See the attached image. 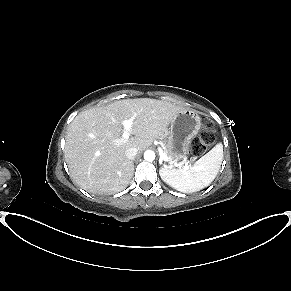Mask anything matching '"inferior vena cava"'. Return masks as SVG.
Masks as SVG:
<instances>
[{
  "instance_id": "1",
  "label": "inferior vena cava",
  "mask_w": 291,
  "mask_h": 291,
  "mask_svg": "<svg viewBox=\"0 0 291 291\" xmlns=\"http://www.w3.org/2000/svg\"><path fill=\"white\" fill-rule=\"evenodd\" d=\"M137 153L138 149L136 147H131L126 150L125 155L129 160H133L136 157Z\"/></svg>"
}]
</instances>
